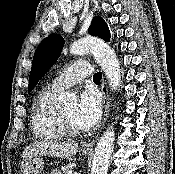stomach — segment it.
Segmentation results:
<instances>
[{
  "label": "stomach",
  "instance_id": "1",
  "mask_svg": "<svg viewBox=\"0 0 175 174\" xmlns=\"http://www.w3.org/2000/svg\"><path fill=\"white\" fill-rule=\"evenodd\" d=\"M84 155H88L89 151H82ZM43 160L40 156H35L32 159L24 160L21 165L22 174H41L43 170ZM59 174V173H57Z\"/></svg>",
  "mask_w": 175,
  "mask_h": 174
}]
</instances>
